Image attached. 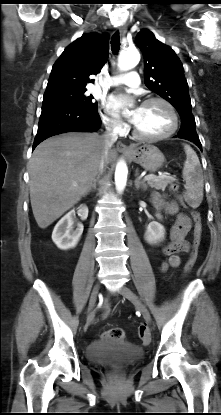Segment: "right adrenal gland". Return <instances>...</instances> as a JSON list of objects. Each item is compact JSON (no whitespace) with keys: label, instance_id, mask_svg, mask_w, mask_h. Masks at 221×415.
<instances>
[{"label":"right adrenal gland","instance_id":"right-adrenal-gland-1","mask_svg":"<svg viewBox=\"0 0 221 415\" xmlns=\"http://www.w3.org/2000/svg\"><path fill=\"white\" fill-rule=\"evenodd\" d=\"M98 180H99V176H97V178L93 181V183H92V185L89 189V192H91L92 190H96V184H97Z\"/></svg>","mask_w":221,"mask_h":415}]
</instances>
